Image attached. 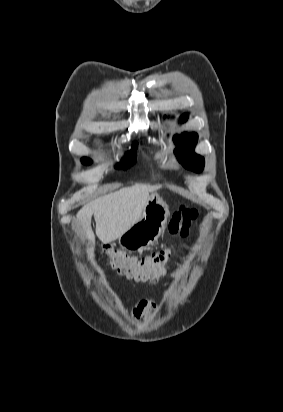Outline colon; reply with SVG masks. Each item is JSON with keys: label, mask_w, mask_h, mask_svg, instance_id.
<instances>
[{"label": "colon", "mask_w": 283, "mask_h": 412, "mask_svg": "<svg viewBox=\"0 0 283 412\" xmlns=\"http://www.w3.org/2000/svg\"><path fill=\"white\" fill-rule=\"evenodd\" d=\"M198 217V211L189 206H180L174 213L168 224V231L172 236L185 237L189 227ZM105 253L109 263L117 273L127 278L153 282L162 277L167 270L170 250L163 249L151 256L137 259L126 253L107 246Z\"/></svg>", "instance_id": "obj_1"}]
</instances>
